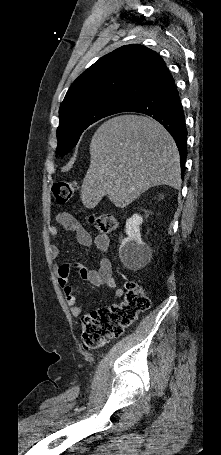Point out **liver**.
<instances>
[{"instance_id": "1", "label": "liver", "mask_w": 221, "mask_h": 455, "mask_svg": "<svg viewBox=\"0 0 221 455\" xmlns=\"http://www.w3.org/2000/svg\"><path fill=\"white\" fill-rule=\"evenodd\" d=\"M90 155L80 194L86 208H95L104 196L125 208L153 186H181L176 143L151 118L127 114L107 120L92 137Z\"/></svg>"}]
</instances>
